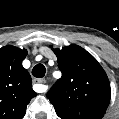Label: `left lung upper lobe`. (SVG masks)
Masks as SVG:
<instances>
[{"instance_id": "5c2ea615", "label": "left lung upper lobe", "mask_w": 119, "mask_h": 119, "mask_svg": "<svg viewBox=\"0 0 119 119\" xmlns=\"http://www.w3.org/2000/svg\"><path fill=\"white\" fill-rule=\"evenodd\" d=\"M62 77L47 97L61 119H102L110 103L108 77L97 60L77 45L53 49Z\"/></svg>"}]
</instances>
